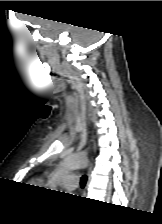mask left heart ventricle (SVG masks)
Returning <instances> with one entry per match:
<instances>
[{"mask_svg":"<svg viewBox=\"0 0 162 224\" xmlns=\"http://www.w3.org/2000/svg\"><path fill=\"white\" fill-rule=\"evenodd\" d=\"M59 186L64 187V186H63V182H62V181L59 183Z\"/></svg>","mask_w":162,"mask_h":224,"instance_id":"b2bd125f","label":"left heart ventricle"}]
</instances>
